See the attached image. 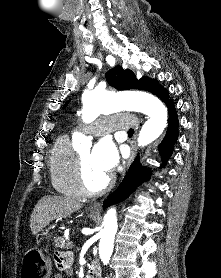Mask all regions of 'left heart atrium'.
Masks as SVG:
<instances>
[{
  "instance_id": "1",
  "label": "left heart atrium",
  "mask_w": 221,
  "mask_h": 278,
  "mask_svg": "<svg viewBox=\"0 0 221 278\" xmlns=\"http://www.w3.org/2000/svg\"><path fill=\"white\" fill-rule=\"evenodd\" d=\"M94 165L104 173H110L118 162V153L114 143L109 139L99 141L91 152Z\"/></svg>"
}]
</instances>
